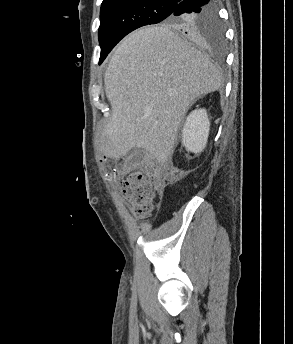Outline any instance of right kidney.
Here are the masks:
<instances>
[{"label": "right kidney", "instance_id": "obj_1", "mask_svg": "<svg viewBox=\"0 0 293 344\" xmlns=\"http://www.w3.org/2000/svg\"><path fill=\"white\" fill-rule=\"evenodd\" d=\"M210 122L205 109L192 111L182 130V144L188 152L200 153L207 144Z\"/></svg>", "mask_w": 293, "mask_h": 344}]
</instances>
